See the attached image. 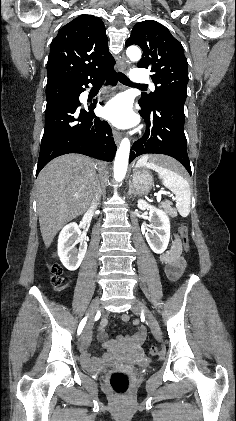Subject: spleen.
Returning a JSON list of instances; mask_svg holds the SVG:
<instances>
[{
  "mask_svg": "<svg viewBox=\"0 0 236 421\" xmlns=\"http://www.w3.org/2000/svg\"><path fill=\"white\" fill-rule=\"evenodd\" d=\"M149 156L144 154L136 162V166H147V168H153L155 172H158L159 178H162V184L172 190L175 194L176 208L181 217H188L191 206V190L190 184L184 176L174 172L170 164L167 162H147Z\"/></svg>",
  "mask_w": 236,
  "mask_h": 421,
  "instance_id": "3e777b00",
  "label": "spleen"
}]
</instances>
